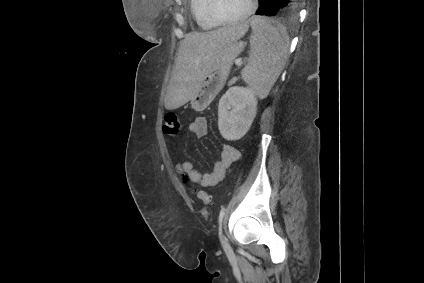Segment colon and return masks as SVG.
<instances>
[{
  "label": "colon",
  "instance_id": "obj_1",
  "mask_svg": "<svg viewBox=\"0 0 424 283\" xmlns=\"http://www.w3.org/2000/svg\"><path fill=\"white\" fill-rule=\"evenodd\" d=\"M181 125L178 116L175 113H167L164 116L163 132L167 136L174 137L180 132ZM184 182L190 186L189 180L187 177H184ZM197 197L206 205L212 203V197L207 192L202 190L195 191Z\"/></svg>",
  "mask_w": 424,
  "mask_h": 283
}]
</instances>
